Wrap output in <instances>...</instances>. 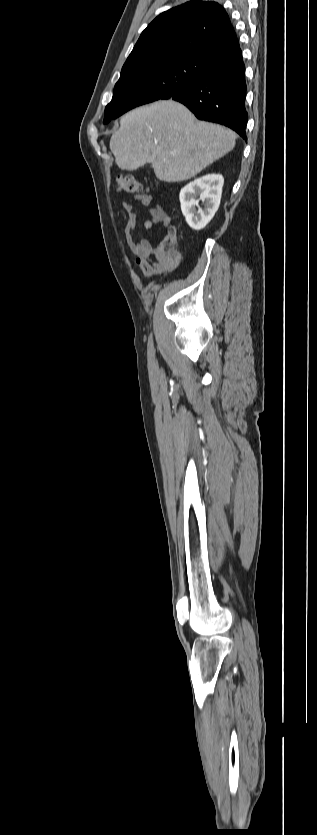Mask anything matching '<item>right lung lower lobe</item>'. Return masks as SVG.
<instances>
[{
  "mask_svg": "<svg viewBox=\"0 0 317 835\" xmlns=\"http://www.w3.org/2000/svg\"><path fill=\"white\" fill-rule=\"evenodd\" d=\"M195 58L203 69V79L180 87L162 99L178 101L198 119L227 126L247 141L245 65L236 35L233 40Z\"/></svg>",
  "mask_w": 317,
  "mask_h": 835,
  "instance_id": "1",
  "label": "right lung lower lobe"
}]
</instances>
